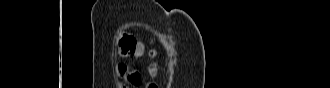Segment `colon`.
I'll return each mask as SVG.
<instances>
[{"label": "colon", "instance_id": "obj_1", "mask_svg": "<svg viewBox=\"0 0 330 88\" xmlns=\"http://www.w3.org/2000/svg\"><path fill=\"white\" fill-rule=\"evenodd\" d=\"M135 41V38L131 34H123L119 40L120 54L124 57L131 56L135 50ZM149 55L154 59L157 56V51L151 50ZM149 73L151 76L157 74V65L155 62L149 66Z\"/></svg>", "mask_w": 330, "mask_h": 88}]
</instances>
